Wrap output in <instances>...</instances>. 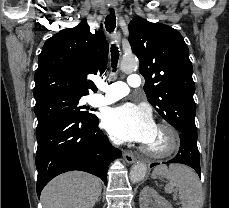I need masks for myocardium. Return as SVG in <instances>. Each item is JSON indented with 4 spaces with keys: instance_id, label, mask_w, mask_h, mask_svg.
I'll list each match as a JSON object with an SVG mask.
<instances>
[{
    "instance_id": "myocardium-1",
    "label": "myocardium",
    "mask_w": 229,
    "mask_h": 208,
    "mask_svg": "<svg viewBox=\"0 0 229 208\" xmlns=\"http://www.w3.org/2000/svg\"><path fill=\"white\" fill-rule=\"evenodd\" d=\"M157 129L166 130L167 138H165L166 147H171L164 152H155L147 146H143V151L153 159H165L176 154L182 144V139L179 131L168 123H159L156 124Z\"/></svg>"
}]
</instances>
